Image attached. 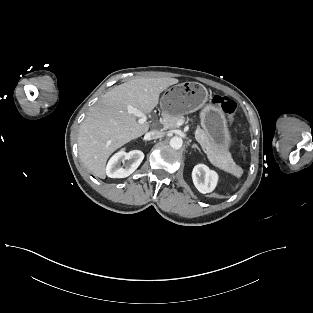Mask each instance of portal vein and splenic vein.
Here are the masks:
<instances>
[{"mask_svg": "<svg viewBox=\"0 0 313 313\" xmlns=\"http://www.w3.org/2000/svg\"><path fill=\"white\" fill-rule=\"evenodd\" d=\"M127 110H128V113L130 114H134L135 116H137L139 119H138V122L140 124H143L145 122H147L148 120V117L146 114H144L142 111H140L139 109L133 107L132 105H128L127 107ZM184 123V120H179L177 123H176V126L179 127L181 125H183Z\"/></svg>", "mask_w": 313, "mask_h": 313, "instance_id": "portal-vein-and-splenic-vein-1", "label": "portal vein and splenic vein"}]
</instances>
